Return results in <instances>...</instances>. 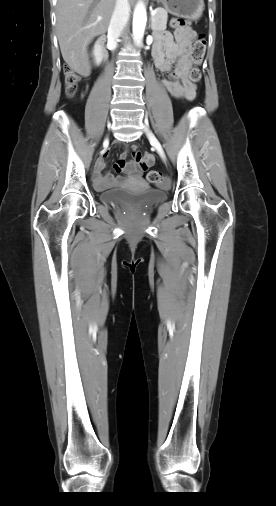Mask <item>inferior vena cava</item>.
<instances>
[{
	"instance_id": "obj_1",
	"label": "inferior vena cava",
	"mask_w": 276,
	"mask_h": 506,
	"mask_svg": "<svg viewBox=\"0 0 276 506\" xmlns=\"http://www.w3.org/2000/svg\"><path fill=\"white\" fill-rule=\"evenodd\" d=\"M130 16V5L128 0H116L114 12L108 27V43L112 50L117 47V41Z\"/></svg>"
}]
</instances>
